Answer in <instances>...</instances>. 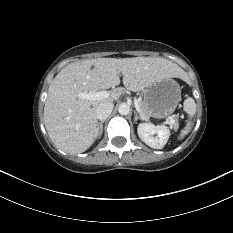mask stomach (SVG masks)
Wrapping results in <instances>:
<instances>
[{
	"instance_id": "obj_1",
	"label": "stomach",
	"mask_w": 233,
	"mask_h": 233,
	"mask_svg": "<svg viewBox=\"0 0 233 233\" xmlns=\"http://www.w3.org/2000/svg\"><path fill=\"white\" fill-rule=\"evenodd\" d=\"M181 99L178 83L167 78L144 89V105L148 116L162 119L171 115Z\"/></svg>"
}]
</instances>
